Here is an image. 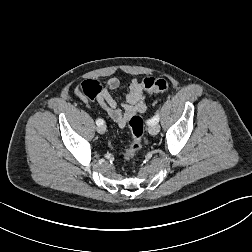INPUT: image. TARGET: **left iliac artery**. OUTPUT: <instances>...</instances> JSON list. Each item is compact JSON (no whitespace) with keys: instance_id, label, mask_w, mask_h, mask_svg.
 <instances>
[{"instance_id":"left-iliac-artery-1","label":"left iliac artery","mask_w":252,"mask_h":252,"mask_svg":"<svg viewBox=\"0 0 252 252\" xmlns=\"http://www.w3.org/2000/svg\"><path fill=\"white\" fill-rule=\"evenodd\" d=\"M159 111H157L156 115L152 117L150 120H148L149 125L157 124L159 122Z\"/></svg>"}]
</instances>
